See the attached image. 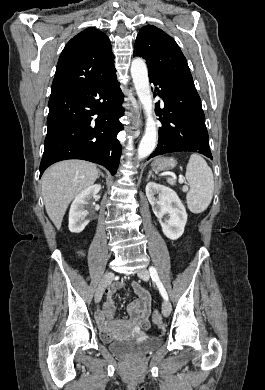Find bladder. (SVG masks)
Masks as SVG:
<instances>
[{"label": "bladder", "mask_w": 265, "mask_h": 390, "mask_svg": "<svg viewBox=\"0 0 265 390\" xmlns=\"http://www.w3.org/2000/svg\"><path fill=\"white\" fill-rule=\"evenodd\" d=\"M161 344L158 337H149L144 341H130V340H115L109 343L111 352L124 355H139L149 352Z\"/></svg>", "instance_id": "bladder-1"}]
</instances>
